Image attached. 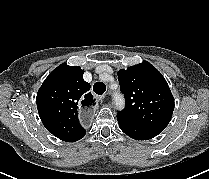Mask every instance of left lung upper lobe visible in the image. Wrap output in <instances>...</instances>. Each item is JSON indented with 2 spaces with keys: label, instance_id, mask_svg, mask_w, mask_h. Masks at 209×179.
Here are the masks:
<instances>
[{
  "label": "left lung upper lobe",
  "instance_id": "5c2ea615",
  "mask_svg": "<svg viewBox=\"0 0 209 179\" xmlns=\"http://www.w3.org/2000/svg\"><path fill=\"white\" fill-rule=\"evenodd\" d=\"M126 107L118 112L129 122L161 133L171 120L174 98L162 74L149 62L118 71Z\"/></svg>",
  "mask_w": 209,
  "mask_h": 179
}]
</instances>
